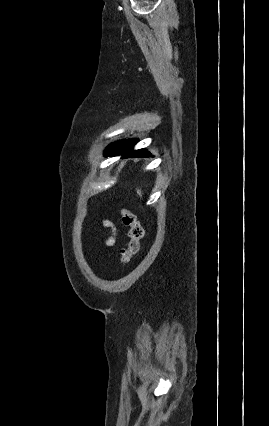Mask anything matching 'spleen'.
<instances>
[{"label": "spleen", "mask_w": 269, "mask_h": 426, "mask_svg": "<svg viewBox=\"0 0 269 426\" xmlns=\"http://www.w3.org/2000/svg\"><path fill=\"white\" fill-rule=\"evenodd\" d=\"M137 194L139 195V196H141V191L138 189L137 190Z\"/></svg>", "instance_id": "3e777b00"}]
</instances>
